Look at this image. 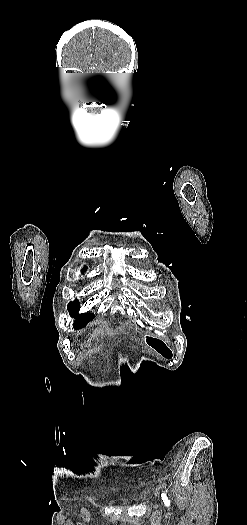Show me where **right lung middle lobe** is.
<instances>
[{
    "label": "right lung middle lobe",
    "mask_w": 247,
    "mask_h": 525,
    "mask_svg": "<svg viewBox=\"0 0 247 525\" xmlns=\"http://www.w3.org/2000/svg\"><path fill=\"white\" fill-rule=\"evenodd\" d=\"M79 308L80 306L78 300H75L74 302H70L68 304V310L70 315L76 318V321L74 322L75 329H79L85 326L93 318V315L91 313L78 314Z\"/></svg>",
    "instance_id": "obj_1"
}]
</instances>
